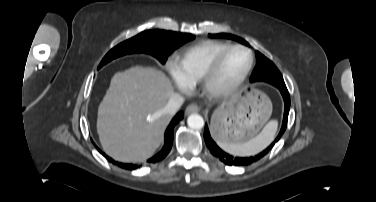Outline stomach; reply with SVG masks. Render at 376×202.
Masks as SVG:
<instances>
[{
  "mask_svg": "<svg viewBox=\"0 0 376 202\" xmlns=\"http://www.w3.org/2000/svg\"><path fill=\"white\" fill-rule=\"evenodd\" d=\"M272 113L268 97L254 90L236 94L214 112L211 130L217 141L244 143L262 129Z\"/></svg>",
  "mask_w": 376,
  "mask_h": 202,
  "instance_id": "1",
  "label": "stomach"
}]
</instances>
